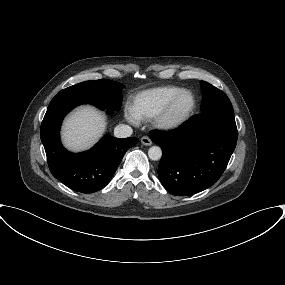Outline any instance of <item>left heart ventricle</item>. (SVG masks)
<instances>
[{"label":"left heart ventricle","instance_id":"obj_1","mask_svg":"<svg viewBox=\"0 0 285 285\" xmlns=\"http://www.w3.org/2000/svg\"><path fill=\"white\" fill-rule=\"evenodd\" d=\"M191 102L192 99L190 96H185L184 98H182L175 109V113L177 115L182 114L184 111H186L189 108Z\"/></svg>","mask_w":285,"mask_h":285}]
</instances>
